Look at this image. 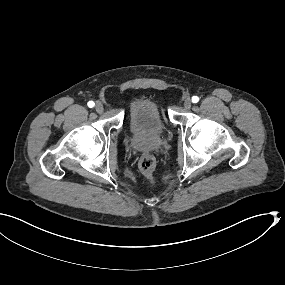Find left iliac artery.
Here are the masks:
<instances>
[{
  "label": "left iliac artery",
  "instance_id": "1",
  "mask_svg": "<svg viewBox=\"0 0 285 285\" xmlns=\"http://www.w3.org/2000/svg\"><path fill=\"white\" fill-rule=\"evenodd\" d=\"M199 101V97H197V96H193L192 97V102L193 103H197Z\"/></svg>",
  "mask_w": 285,
  "mask_h": 285
}]
</instances>
